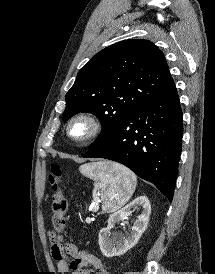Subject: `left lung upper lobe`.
<instances>
[{
  "label": "left lung upper lobe",
  "instance_id": "left-lung-upper-lobe-1",
  "mask_svg": "<svg viewBox=\"0 0 215 274\" xmlns=\"http://www.w3.org/2000/svg\"><path fill=\"white\" fill-rule=\"evenodd\" d=\"M172 81L164 54L152 42L132 39L113 44L79 71L65 96L64 121L79 112L95 114L102 132L92 148Z\"/></svg>",
  "mask_w": 215,
  "mask_h": 274
}]
</instances>
